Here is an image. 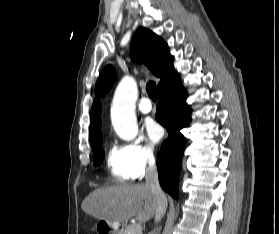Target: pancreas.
Segmentation results:
<instances>
[{"mask_svg": "<svg viewBox=\"0 0 279 234\" xmlns=\"http://www.w3.org/2000/svg\"><path fill=\"white\" fill-rule=\"evenodd\" d=\"M133 226L134 225H129L128 227H126L122 234H141L140 232H133Z\"/></svg>", "mask_w": 279, "mask_h": 234, "instance_id": "obj_1", "label": "pancreas"}]
</instances>
